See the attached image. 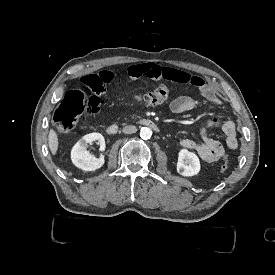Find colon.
Returning <instances> with one entry per match:
<instances>
[{
	"label": "colon",
	"mask_w": 275,
	"mask_h": 275,
	"mask_svg": "<svg viewBox=\"0 0 275 275\" xmlns=\"http://www.w3.org/2000/svg\"><path fill=\"white\" fill-rule=\"evenodd\" d=\"M82 83H87L93 94L88 95L80 90H69L64 100L58 103L54 113L53 121L58 131L69 132L73 129L81 117L90 116L96 113L100 103L98 96L106 94L109 87L103 85L97 72H82L79 75ZM170 97V91L163 81H156L152 85V91L137 96V100L147 105H154L167 100ZM220 170L223 173L230 171V163L223 159L219 163Z\"/></svg>",
	"instance_id": "obj_1"
}]
</instances>
